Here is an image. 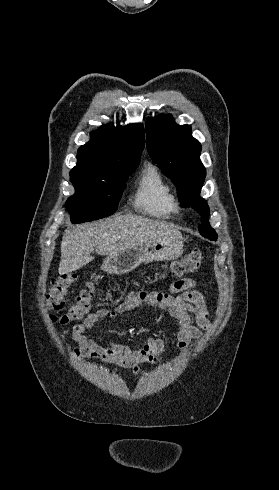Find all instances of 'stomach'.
<instances>
[{
  "mask_svg": "<svg viewBox=\"0 0 279 490\" xmlns=\"http://www.w3.org/2000/svg\"><path fill=\"white\" fill-rule=\"evenodd\" d=\"M183 254L182 236H169L145 242L137 248H128L119 254H112L105 258L101 270L115 276H122L135 270L140 264H151V262H169L177 260Z\"/></svg>",
  "mask_w": 279,
  "mask_h": 490,
  "instance_id": "stomach-1",
  "label": "stomach"
}]
</instances>
